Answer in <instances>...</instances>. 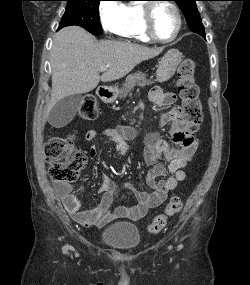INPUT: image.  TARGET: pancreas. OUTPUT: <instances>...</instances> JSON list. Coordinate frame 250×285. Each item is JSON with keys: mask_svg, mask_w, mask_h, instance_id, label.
I'll use <instances>...</instances> for the list:
<instances>
[{"mask_svg": "<svg viewBox=\"0 0 250 285\" xmlns=\"http://www.w3.org/2000/svg\"><path fill=\"white\" fill-rule=\"evenodd\" d=\"M152 83V80L146 79V74L140 71L132 73L126 77L125 83L119 91V98H125L136 85L143 87Z\"/></svg>", "mask_w": 250, "mask_h": 285, "instance_id": "1", "label": "pancreas"}]
</instances>
